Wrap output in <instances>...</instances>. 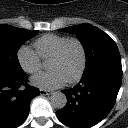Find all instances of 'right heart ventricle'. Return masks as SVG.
<instances>
[{"label": "right heart ventricle", "mask_w": 128, "mask_h": 128, "mask_svg": "<svg viewBox=\"0 0 128 128\" xmlns=\"http://www.w3.org/2000/svg\"><path fill=\"white\" fill-rule=\"evenodd\" d=\"M70 38L58 34H46L34 42L36 52L43 60L52 58Z\"/></svg>", "instance_id": "e07e8e85"}]
</instances>
